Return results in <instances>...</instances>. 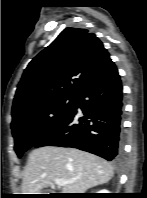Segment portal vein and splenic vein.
Here are the masks:
<instances>
[{
	"label": "portal vein and splenic vein",
	"instance_id": "18ae733b",
	"mask_svg": "<svg viewBox=\"0 0 147 198\" xmlns=\"http://www.w3.org/2000/svg\"><path fill=\"white\" fill-rule=\"evenodd\" d=\"M69 183V181L62 180V179H55L54 184L57 186H65Z\"/></svg>",
	"mask_w": 147,
	"mask_h": 198
}]
</instances>
